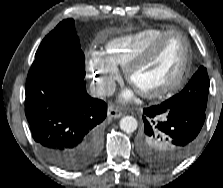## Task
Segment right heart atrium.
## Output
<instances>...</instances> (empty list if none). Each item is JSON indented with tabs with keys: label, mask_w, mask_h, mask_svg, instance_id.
Segmentation results:
<instances>
[{
	"label": "right heart atrium",
	"mask_w": 223,
	"mask_h": 188,
	"mask_svg": "<svg viewBox=\"0 0 223 188\" xmlns=\"http://www.w3.org/2000/svg\"><path fill=\"white\" fill-rule=\"evenodd\" d=\"M88 71L95 89L100 95H108L114 90L119 77L118 70L104 53L94 51L90 54Z\"/></svg>",
	"instance_id": "obj_1"
}]
</instances>
